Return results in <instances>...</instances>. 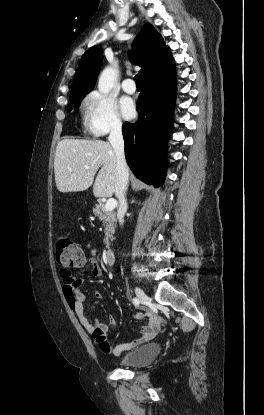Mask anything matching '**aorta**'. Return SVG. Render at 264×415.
<instances>
[{
	"mask_svg": "<svg viewBox=\"0 0 264 415\" xmlns=\"http://www.w3.org/2000/svg\"><path fill=\"white\" fill-rule=\"evenodd\" d=\"M117 72L112 67H106L100 74L98 80V90L101 93H109L116 81Z\"/></svg>",
	"mask_w": 264,
	"mask_h": 415,
	"instance_id": "obj_1",
	"label": "aorta"
}]
</instances>
